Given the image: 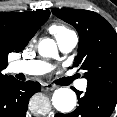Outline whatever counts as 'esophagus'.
<instances>
[{
	"instance_id": "esophagus-1",
	"label": "esophagus",
	"mask_w": 117,
	"mask_h": 117,
	"mask_svg": "<svg viewBox=\"0 0 117 117\" xmlns=\"http://www.w3.org/2000/svg\"><path fill=\"white\" fill-rule=\"evenodd\" d=\"M55 88H56V86L53 85V84H50V83H44V84L42 85V90H43V91H52V90H54Z\"/></svg>"
}]
</instances>
